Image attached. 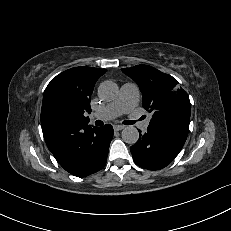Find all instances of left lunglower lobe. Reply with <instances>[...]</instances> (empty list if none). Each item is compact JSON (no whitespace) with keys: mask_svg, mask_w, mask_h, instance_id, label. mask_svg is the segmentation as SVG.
Wrapping results in <instances>:
<instances>
[{"mask_svg":"<svg viewBox=\"0 0 231 231\" xmlns=\"http://www.w3.org/2000/svg\"><path fill=\"white\" fill-rule=\"evenodd\" d=\"M141 133V131H139ZM188 133L150 124L147 132L130 147L137 165L149 170L166 167L182 149Z\"/></svg>","mask_w":231,"mask_h":231,"instance_id":"left-lung-lower-lobe-1","label":"left lung lower lobe"}]
</instances>
